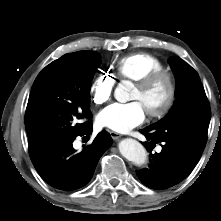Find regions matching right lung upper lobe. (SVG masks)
<instances>
[{
  "label": "right lung upper lobe",
  "mask_w": 221,
  "mask_h": 221,
  "mask_svg": "<svg viewBox=\"0 0 221 221\" xmlns=\"http://www.w3.org/2000/svg\"><path fill=\"white\" fill-rule=\"evenodd\" d=\"M83 51H79V52H74V53H71V54H66L64 56H76V55H79L81 54Z\"/></svg>",
  "instance_id": "1"
}]
</instances>
